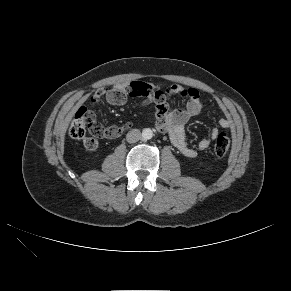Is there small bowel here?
Segmentation results:
<instances>
[{"instance_id": "c3829d8e", "label": "small bowel", "mask_w": 291, "mask_h": 291, "mask_svg": "<svg viewBox=\"0 0 291 291\" xmlns=\"http://www.w3.org/2000/svg\"><path fill=\"white\" fill-rule=\"evenodd\" d=\"M173 95L187 98L184 108H169L167 98ZM103 96L109 104L115 106L126 105L130 99L134 98H141V104L143 105L153 103L156 107V129L160 132L168 133L172 144L183 156L187 158L196 156L197 150L187 143L185 125L190 118L198 115L204 107V101L197 89L173 84L165 90H161L158 87L143 82H122L115 84L109 89L98 90L91 98V101L96 103ZM230 124V120L227 118L219 120L221 128H228ZM218 133L219 130L214 128L211 131L210 137L214 139ZM84 145L87 149L93 150L97 147L98 142L94 139H88L84 142ZM209 145L210 139L202 138L198 142L197 147L200 150H205Z\"/></svg>"}]
</instances>
